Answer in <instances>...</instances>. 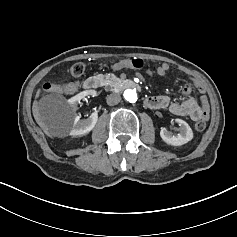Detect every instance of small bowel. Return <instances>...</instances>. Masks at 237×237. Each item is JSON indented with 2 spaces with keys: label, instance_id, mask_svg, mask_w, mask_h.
I'll return each mask as SVG.
<instances>
[{
  "label": "small bowel",
  "instance_id": "obj_1",
  "mask_svg": "<svg viewBox=\"0 0 237 237\" xmlns=\"http://www.w3.org/2000/svg\"><path fill=\"white\" fill-rule=\"evenodd\" d=\"M114 68H131L130 60H123L117 63ZM168 71L169 65L167 63H163L157 68V73L160 76L166 75ZM191 79L192 82L185 84L182 88V93L186 96L184 101L176 102L166 95L151 96L144 101L146 107L150 109H168L174 115L188 116L194 121L207 119L209 117V103L206 92L194 78ZM77 89L78 84L76 82L52 85L51 87V90L66 94H74ZM194 89L199 90L200 104L191 97Z\"/></svg>",
  "mask_w": 237,
  "mask_h": 237
}]
</instances>
